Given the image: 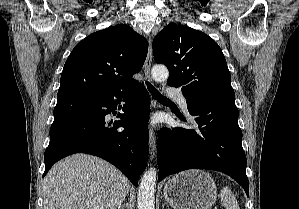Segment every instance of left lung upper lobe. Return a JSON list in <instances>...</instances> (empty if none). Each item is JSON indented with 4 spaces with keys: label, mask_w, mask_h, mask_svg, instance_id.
Returning <instances> with one entry per match:
<instances>
[{
    "label": "left lung upper lobe",
    "mask_w": 299,
    "mask_h": 209,
    "mask_svg": "<svg viewBox=\"0 0 299 209\" xmlns=\"http://www.w3.org/2000/svg\"><path fill=\"white\" fill-rule=\"evenodd\" d=\"M154 60L169 70V86L182 87L186 99H235L224 54L208 35L170 23L153 40Z\"/></svg>",
    "instance_id": "1"
}]
</instances>
